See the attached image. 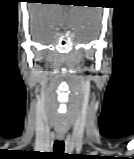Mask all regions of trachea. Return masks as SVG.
<instances>
[{
  "instance_id": "trachea-1",
  "label": "trachea",
  "mask_w": 134,
  "mask_h": 159,
  "mask_svg": "<svg viewBox=\"0 0 134 159\" xmlns=\"http://www.w3.org/2000/svg\"><path fill=\"white\" fill-rule=\"evenodd\" d=\"M54 152L57 154H61L64 151V141L62 140H56L54 142Z\"/></svg>"
}]
</instances>
